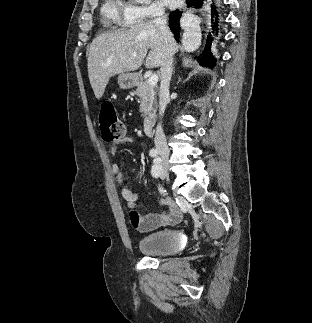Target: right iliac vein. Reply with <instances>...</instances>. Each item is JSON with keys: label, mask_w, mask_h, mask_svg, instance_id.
Listing matches in <instances>:
<instances>
[{"label": "right iliac vein", "mask_w": 312, "mask_h": 323, "mask_svg": "<svg viewBox=\"0 0 312 323\" xmlns=\"http://www.w3.org/2000/svg\"><path fill=\"white\" fill-rule=\"evenodd\" d=\"M161 174L166 178L167 181H169V172L166 167H161Z\"/></svg>", "instance_id": "63e3f726"}]
</instances>
